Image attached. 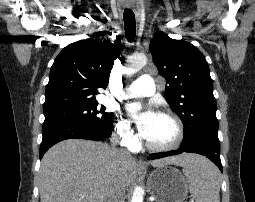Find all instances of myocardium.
I'll return each mask as SVG.
<instances>
[{"instance_id": "obj_1", "label": "myocardium", "mask_w": 255, "mask_h": 202, "mask_svg": "<svg viewBox=\"0 0 255 202\" xmlns=\"http://www.w3.org/2000/svg\"><path fill=\"white\" fill-rule=\"evenodd\" d=\"M158 114L172 120L176 128V136L174 140L168 144H153L149 142L148 140H146L144 137H142L144 145L149 150L155 151V152H166V151H171L178 148L182 144L184 140V135H185L184 125L182 120L179 118L177 114L169 110L160 111Z\"/></svg>"}]
</instances>
